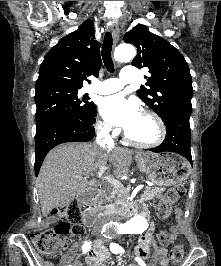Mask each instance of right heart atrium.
<instances>
[{
	"label": "right heart atrium",
	"mask_w": 221,
	"mask_h": 266,
	"mask_svg": "<svg viewBox=\"0 0 221 266\" xmlns=\"http://www.w3.org/2000/svg\"><path fill=\"white\" fill-rule=\"evenodd\" d=\"M95 129L100 136L104 137H111L117 134V130L113 129L109 124H107L103 120H97Z\"/></svg>",
	"instance_id": "right-heart-atrium-1"
}]
</instances>
